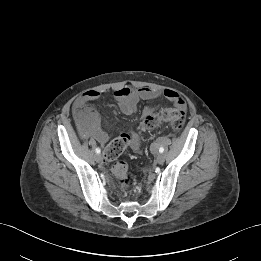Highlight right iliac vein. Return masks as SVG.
<instances>
[{"instance_id":"right-iliac-vein-1","label":"right iliac vein","mask_w":261,"mask_h":261,"mask_svg":"<svg viewBox=\"0 0 261 261\" xmlns=\"http://www.w3.org/2000/svg\"><path fill=\"white\" fill-rule=\"evenodd\" d=\"M101 159H102L101 154H96V155H95V160H96L97 162H100Z\"/></svg>"}]
</instances>
